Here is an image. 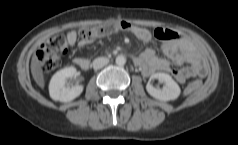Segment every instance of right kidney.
Masks as SVG:
<instances>
[{
	"mask_svg": "<svg viewBox=\"0 0 238 145\" xmlns=\"http://www.w3.org/2000/svg\"><path fill=\"white\" fill-rule=\"evenodd\" d=\"M76 74L77 70L73 66L57 71L49 84L50 97L60 102H69L78 97L83 91V86L76 85L69 87L66 85V80L75 77Z\"/></svg>",
	"mask_w": 238,
	"mask_h": 145,
	"instance_id": "obj_1",
	"label": "right kidney"
}]
</instances>
